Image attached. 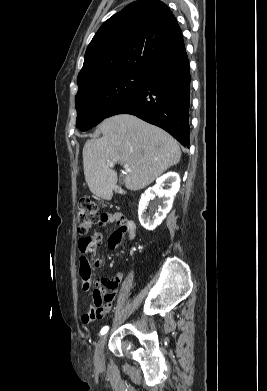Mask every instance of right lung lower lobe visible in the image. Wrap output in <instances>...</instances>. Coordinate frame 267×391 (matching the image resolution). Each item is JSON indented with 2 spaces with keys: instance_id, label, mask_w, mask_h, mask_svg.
I'll return each instance as SVG.
<instances>
[{
  "instance_id": "right-lung-lower-lobe-1",
  "label": "right lung lower lobe",
  "mask_w": 267,
  "mask_h": 391,
  "mask_svg": "<svg viewBox=\"0 0 267 391\" xmlns=\"http://www.w3.org/2000/svg\"><path fill=\"white\" fill-rule=\"evenodd\" d=\"M190 68L187 53L158 62L142 86L108 117L128 113L159 126L189 148Z\"/></svg>"
}]
</instances>
